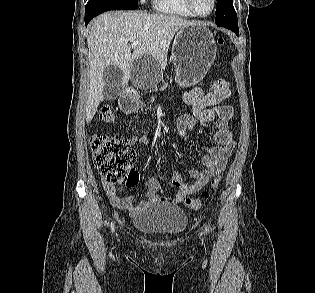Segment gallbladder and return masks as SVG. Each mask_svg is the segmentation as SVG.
<instances>
[{
	"mask_svg": "<svg viewBox=\"0 0 315 293\" xmlns=\"http://www.w3.org/2000/svg\"><path fill=\"white\" fill-rule=\"evenodd\" d=\"M123 78L124 73L119 67L110 65L105 68L103 72V96L106 101H111L118 97Z\"/></svg>",
	"mask_w": 315,
	"mask_h": 293,
	"instance_id": "bac80fb5",
	"label": "gallbladder"
}]
</instances>
